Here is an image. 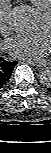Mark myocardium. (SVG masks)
<instances>
[{
    "label": "myocardium",
    "instance_id": "1",
    "mask_svg": "<svg viewBox=\"0 0 51 153\" xmlns=\"http://www.w3.org/2000/svg\"><path fill=\"white\" fill-rule=\"evenodd\" d=\"M43 18L51 23V8L48 11L43 12Z\"/></svg>",
    "mask_w": 51,
    "mask_h": 153
}]
</instances>
